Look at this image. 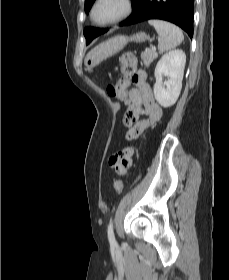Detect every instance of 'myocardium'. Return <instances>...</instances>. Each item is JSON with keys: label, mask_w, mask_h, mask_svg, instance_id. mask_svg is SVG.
<instances>
[{"label": "myocardium", "mask_w": 229, "mask_h": 280, "mask_svg": "<svg viewBox=\"0 0 229 280\" xmlns=\"http://www.w3.org/2000/svg\"><path fill=\"white\" fill-rule=\"evenodd\" d=\"M103 2H105V0H95L89 14L91 22L100 27L118 23L129 17L134 10L133 0H120V2L122 3V9L120 10V12L106 20L100 21L95 17V12Z\"/></svg>", "instance_id": "1"}]
</instances>
